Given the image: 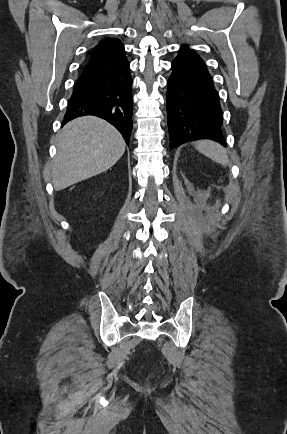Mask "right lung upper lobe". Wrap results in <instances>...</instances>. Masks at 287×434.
<instances>
[{
    "label": "right lung upper lobe",
    "instance_id": "obj_1",
    "mask_svg": "<svg viewBox=\"0 0 287 434\" xmlns=\"http://www.w3.org/2000/svg\"><path fill=\"white\" fill-rule=\"evenodd\" d=\"M123 51L124 46L120 40L107 38L94 47L88 62L99 61Z\"/></svg>",
    "mask_w": 287,
    "mask_h": 434
}]
</instances>
